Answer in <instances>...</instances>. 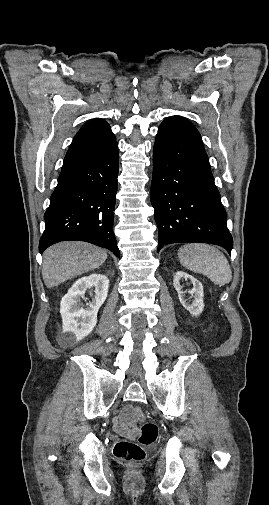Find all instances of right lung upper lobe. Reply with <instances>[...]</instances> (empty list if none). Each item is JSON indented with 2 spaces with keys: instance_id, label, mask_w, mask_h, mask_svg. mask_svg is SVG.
Returning a JSON list of instances; mask_svg holds the SVG:
<instances>
[{
  "instance_id": "obj_1",
  "label": "right lung upper lobe",
  "mask_w": 269,
  "mask_h": 505,
  "mask_svg": "<svg viewBox=\"0 0 269 505\" xmlns=\"http://www.w3.org/2000/svg\"><path fill=\"white\" fill-rule=\"evenodd\" d=\"M116 142L107 122L92 119L75 135L63 164L76 162L98 154Z\"/></svg>"
}]
</instances>
